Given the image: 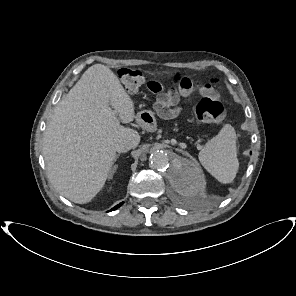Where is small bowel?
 <instances>
[{"mask_svg": "<svg viewBox=\"0 0 296 296\" xmlns=\"http://www.w3.org/2000/svg\"><path fill=\"white\" fill-rule=\"evenodd\" d=\"M148 87L151 91L159 93L155 107L160 116L164 118H172L180 112V107L178 106L180 97L177 92L172 90L161 92V85L155 81L149 82ZM201 92L209 94L211 96L215 95V92L211 85H209V88L207 90Z\"/></svg>", "mask_w": 296, "mask_h": 296, "instance_id": "1", "label": "small bowel"}]
</instances>
